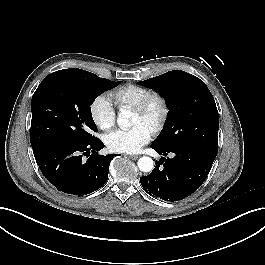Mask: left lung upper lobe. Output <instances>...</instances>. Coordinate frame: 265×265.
<instances>
[{
	"label": "left lung upper lobe",
	"mask_w": 265,
	"mask_h": 265,
	"mask_svg": "<svg viewBox=\"0 0 265 265\" xmlns=\"http://www.w3.org/2000/svg\"><path fill=\"white\" fill-rule=\"evenodd\" d=\"M138 83L159 92L169 108L164 129L153 146L161 149L196 146L217 154L218 110L202 80L173 70Z\"/></svg>",
	"instance_id": "5c2ea615"
}]
</instances>
